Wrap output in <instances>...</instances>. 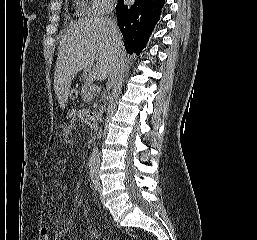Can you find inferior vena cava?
<instances>
[{
  "instance_id": "1",
  "label": "inferior vena cava",
  "mask_w": 257,
  "mask_h": 240,
  "mask_svg": "<svg viewBox=\"0 0 257 240\" xmlns=\"http://www.w3.org/2000/svg\"><path fill=\"white\" fill-rule=\"evenodd\" d=\"M107 31L110 34L111 39L116 48V55H115V59H114L113 69L109 74V78H108V82H107V91H109L115 83V79H116V75L118 73V68H119L120 59H121V54L119 52L120 35H119V31H118V27H117V23H116L115 19H112V18L108 19Z\"/></svg>"
}]
</instances>
